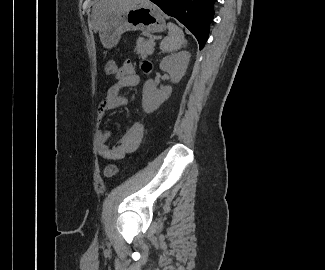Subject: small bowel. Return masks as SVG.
Instances as JSON below:
<instances>
[{"label": "small bowel", "instance_id": "small-bowel-1", "mask_svg": "<svg viewBox=\"0 0 325 270\" xmlns=\"http://www.w3.org/2000/svg\"><path fill=\"white\" fill-rule=\"evenodd\" d=\"M141 67L144 71L150 70V64L147 61H144ZM114 78V84L108 89L105 98L98 105L96 112L98 124L103 121L108 111L123 107L128 103V99L120 94V90L124 87L136 86L140 80L131 61H126L118 67ZM143 132L144 124L135 122L129 126L117 145L110 147L108 145L110 131L99 130L96 137L98 155L106 160L122 159L139 147Z\"/></svg>", "mask_w": 325, "mask_h": 270}]
</instances>
